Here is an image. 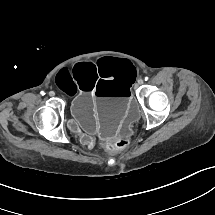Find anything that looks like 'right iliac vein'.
Wrapping results in <instances>:
<instances>
[{
	"mask_svg": "<svg viewBox=\"0 0 215 215\" xmlns=\"http://www.w3.org/2000/svg\"><path fill=\"white\" fill-rule=\"evenodd\" d=\"M49 95H50V96H55V92H54V91H50V92H49Z\"/></svg>",
	"mask_w": 215,
	"mask_h": 215,
	"instance_id": "1",
	"label": "right iliac vein"
}]
</instances>
